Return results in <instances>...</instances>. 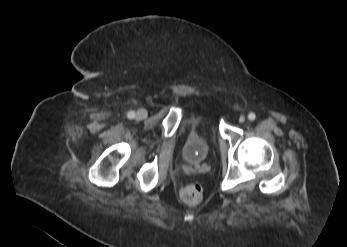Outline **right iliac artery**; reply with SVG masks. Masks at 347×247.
Wrapping results in <instances>:
<instances>
[{
  "mask_svg": "<svg viewBox=\"0 0 347 247\" xmlns=\"http://www.w3.org/2000/svg\"><path fill=\"white\" fill-rule=\"evenodd\" d=\"M127 117H128L129 119L134 118V117H135V112H134V111H129V112L127 113Z\"/></svg>",
  "mask_w": 347,
  "mask_h": 247,
  "instance_id": "82829eb1",
  "label": "right iliac artery"
}]
</instances>
